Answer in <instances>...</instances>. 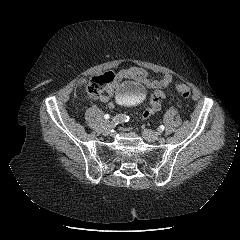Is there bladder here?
<instances>
[{
	"label": "bladder",
	"mask_w": 240,
	"mask_h": 240,
	"mask_svg": "<svg viewBox=\"0 0 240 240\" xmlns=\"http://www.w3.org/2000/svg\"><path fill=\"white\" fill-rule=\"evenodd\" d=\"M117 93L123 103L130 104L140 96L142 89L137 83L125 82L119 86Z\"/></svg>",
	"instance_id": "31cf9c89"
}]
</instances>
